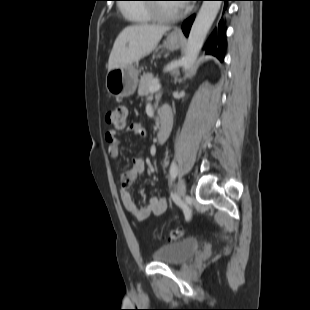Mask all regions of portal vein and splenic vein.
Returning <instances> with one entry per match:
<instances>
[{"mask_svg": "<svg viewBox=\"0 0 310 310\" xmlns=\"http://www.w3.org/2000/svg\"><path fill=\"white\" fill-rule=\"evenodd\" d=\"M160 88H161V85H160L159 83H155L154 85H152V86L150 87L149 90H150L151 93H153V92L158 91Z\"/></svg>", "mask_w": 310, "mask_h": 310, "instance_id": "portal-vein-and-splenic-vein-1", "label": "portal vein and splenic vein"}]
</instances>
